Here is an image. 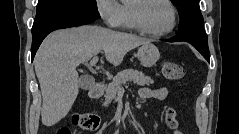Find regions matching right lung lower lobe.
Wrapping results in <instances>:
<instances>
[{
  "label": "right lung lower lobe",
  "instance_id": "right-lung-lower-lobe-1",
  "mask_svg": "<svg viewBox=\"0 0 239 134\" xmlns=\"http://www.w3.org/2000/svg\"><path fill=\"white\" fill-rule=\"evenodd\" d=\"M96 19L81 15H66L55 18L46 24H44L41 28L32 32V48H31V56L32 60L36 54L37 49L39 48L43 39L52 31L57 29H63L68 27L80 26L84 24H89L94 22Z\"/></svg>",
  "mask_w": 239,
  "mask_h": 134
}]
</instances>
